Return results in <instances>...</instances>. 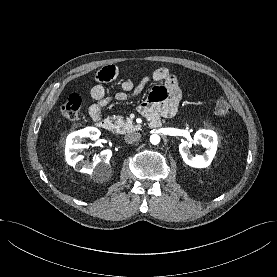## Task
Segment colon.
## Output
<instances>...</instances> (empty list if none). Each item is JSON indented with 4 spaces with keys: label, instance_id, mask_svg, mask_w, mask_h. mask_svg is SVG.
<instances>
[{
    "label": "colon",
    "instance_id": "obj_1",
    "mask_svg": "<svg viewBox=\"0 0 277 277\" xmlns=\"http://www.w3.org/2000/svg\"><path fill=\"white\" fill-rule=\"evenodd\" d=\"M82 105V99L78 94H71L61 105V114L67 119H76ZM214 113L220 118H227L231 113V107L228 101L219 96L214 101Z\"/></svg>",
    "mask_w": 277,
    "mask_h": 277
}]
</instances>
